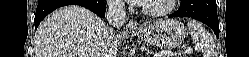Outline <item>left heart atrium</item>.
<instances>
[{"label":"left heart atrium","mask_w":249,"mask_h":57,"mask_svg":"<svg viewBox=\"0 0 249 57\" xmlns=\"http://www.w3.org/2000/svg\"><path fill=\"white\" fill-rule=\"evenodd\" d=\"M132 2L135 4H143L146 2V0H132Z\"/></svg>","instance_id":"left-heart-atrium-1"}]
</instances>
